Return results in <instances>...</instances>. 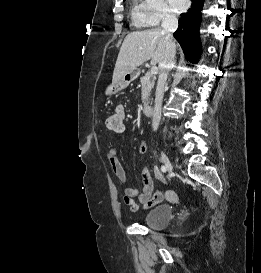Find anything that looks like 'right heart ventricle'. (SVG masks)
<instances>
[{"instance_id":"right-heart-ventricle-1","label":"right heart ventricle","mask_w":261,"mask_h":273,"mask_svg":"<svg viewBox=\"0 0 261 273\" xmlns=\"http://www.w3.org/2000/svg\"><path fill=\"white\" fill-rule=\"evenodd\" d=\"M132 16H133V19L138 23L139 12H138L137 5H135L133 8Z\"/></svg>"}]
</instances>
